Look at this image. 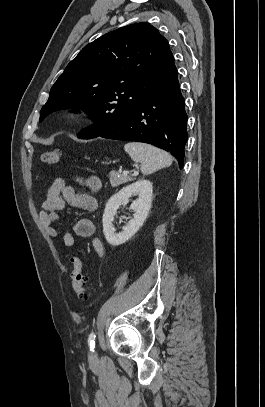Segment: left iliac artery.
Masks as SVG:
<instances>
[{"mask_svg":"<svg viewBox=\"0 0 265 407\" xmlns=\"http://www.w3.org/2000/svg\"><path fill=\"white\" fill-rule=\"evenodd\" d=\"M95 338H96L95 333L94 332L90 333L88 343L91 351H94L93 349L95 347Z\"/></svg>","mask_w":265,"mask_h":407,"instance_id":"1","label":"left iliac artery"}]
</instances>
